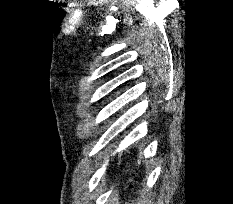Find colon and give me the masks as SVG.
I'll return each mask as SVG.
<instances>
[{"label":"colon","instance_id":"1","mask_svg":"<svg viewBox=\"0 0 233 204\" xmlns=\"http://www.w3.org/2000/svg\"><path fill=\"white\" fill-rule=\"evenodd\" d=\"M134 174L130 172V176L125 185L121 186V190H126L132 187Z\"/></svg>","mask_w":233,"mask_h":204}]
</instances>
